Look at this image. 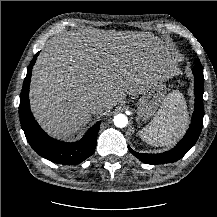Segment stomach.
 I'll use <instances>...</instances> for the list:
<instances>
[{
	"mask_svg": "<svg viewBox=\"0 0 217 217\" xmlns=\"http://www.w3.org/2000/svg\"><path fill=\"white\" fill-rule=\"evenodd\" d=\"M166 90V86L162 83H155L142 89L141 96L136 103L139 119L146 121L154 115L159 105L165 99Z\"/></svg>",
	"mask_w": 217,
	"mask_h": 217,
	"instance_id": "obj_1",
	"label": "stomach"
}]
</instances>
